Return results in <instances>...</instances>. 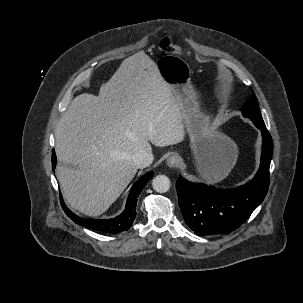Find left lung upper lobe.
<instances>
[{
    "mask_svg": "<svg viewBox=\"0 0 303 303\" xmlns=\"http://www.w3.org/2000/svg\"><path fill=\"white\" fill-rule=\"evenodd\" d=\"M241 111H242L244 117H248L253 121H257L261 124H264V121L262 119V116H261V113L259 110L257 98L254 94L242 106Z\"/></svg>",
    "mask_w": 303,
    "mask_h": 303,
    "instance_id": "5c2ea615",
    "label": "left lung upper lobe"
}]
</instances>
